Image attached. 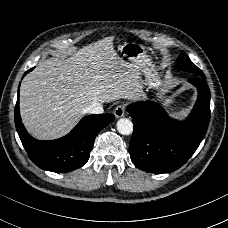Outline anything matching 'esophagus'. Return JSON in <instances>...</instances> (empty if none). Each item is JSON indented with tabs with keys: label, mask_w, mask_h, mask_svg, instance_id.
I'll list each match as a JSON object with an SVG mask.
<instances>
[{
	"label": "esophagus",
	"mask_w": 228,
	"mask_h": 228,
	"mask_svg": "<svg viewBox=\"0 0 228 228\" xmlns=\"http://www.w3.org/2000/svg\"><path fill=\"white\" fill-rule=\"evenodd\" d=\"M124 113H125V105L123 104L118 105L114 110L115 117L117 118L123 117Z\"/></svg>",
	"instance_id": "obj_1"
}]
</instances>
